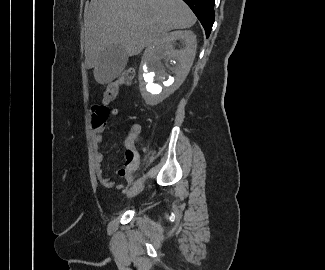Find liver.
Returning <instances> with one entry per match:
<instances>
[{"mask_svg":"<svg viewBox=\"0 0 325 270\" xmlns=\"http://www.w3.org/2000/svg\"><path fill=\"white\" fill-rule=\"evenodd\" d=\"M195 22L182 0H91L84 11L86 67L94 68L97 83H109L96 69L107 47L119 44L128 56H135L169 31L190 28Z\"/></svg>","mask_w":325,"mask_h":270,"instance_id":"obj_1","label":"liver"}]
</instances>
